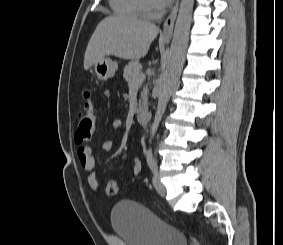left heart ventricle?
I'll return each instance as SVG.
<instances>
[{
    "label": "left heart ventricle",
    "mask_w": 283,
    "mask_h": 245,
    "mask_svg": "<svg viewBox=\"0 0 283 245\" xmlns=\"http://www.w3.org/2000/svg\"><path fill=\"white\" fill-rule=\"evenodd\" d=\"M147 4L151 7V8H158L153 0H146Z\"/></svg>",
    "instance_id": "b2bd125f"
}]
</instances>
